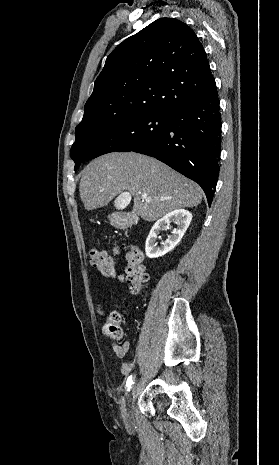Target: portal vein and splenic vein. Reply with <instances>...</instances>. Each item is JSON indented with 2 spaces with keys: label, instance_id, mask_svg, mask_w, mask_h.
Here are the masks:
<instances>
[{
  "label": "portal vein and splenic vein",
  "instance_id": "obj_1",
  "mask_svg": "<svg viewBox=\"0 0 279 465\" xmlns=\"http://www.w3.org/2000/svg\"><path fill=\"white\" fill-rule=\"evenodd\" d=\"M141 196H142V199H143V200H151V198H149V197L147 196V194H142ZM122 197H123V198H126L127 200H130V199H131V195H130V193H128V192L123 193V194H122ZM161 200H163V199L161 198Z\"/></svg>",
  "mask_w": 279,
  "mask_h": 465
}]
</instances>
